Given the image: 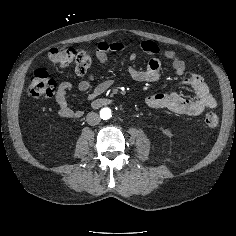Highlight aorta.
<instances>
[{
    "mask_svg": "<svg viewBox=\"0 0 236 236\" xmlns=\"http://www.w3.org/2000/svg\"><path fill=\"white\" fill-rule=\"evenodd\" d=\"M100 116L102 119L107 120L112 117L111 109L110 108H102L100 111Z\"/></svg>",
    "mask_w": 236,
    "mask_h": 236,
    "instance_id": "1",
    "label": "aorta"
}]
</instances>
